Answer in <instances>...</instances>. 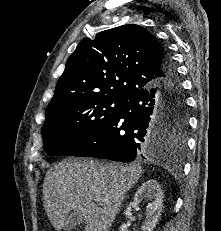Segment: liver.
<instances>
[{
    "label": "liver",
    "instance_id": "1",
    "mask_svg": "<svg viewBox=\"0 0 221 231\" xmlns=\"http://www.w3.org/2000/svg\"><path fill=\"white\" fill-rule=\"evenodd\" d=\"M142 173V167L134 164L63 160L46 173L44 209L57 230L63 228L71 211H77L85 221V231H108L126 193Z\"/></svg>",
    "mask_w": 221,
    "mask_h": 231
}]
</instances>
